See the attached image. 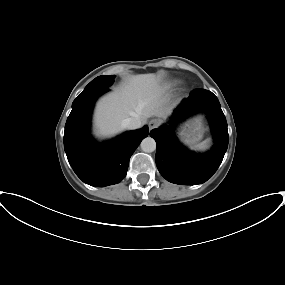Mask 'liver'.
Here are the masks:
<instances>
[{
  "label": "liver",
  "instance_id": "6515ba94",
  "mask_svg": "<svg viewBox=\"0 0 285 285\" xmlns=\"http://www.w3.org/2000/svg\"><path fill=\"white\" fill-rule=\"evenodd\" d=\"M164 88L155 74L130 77L114 92L102 97L95 109L96 134L111 136L124 130L122 121L138 117L145 122L151 116L166 118L170 110L163 108Z\"/></svg>",
  "mask_w": 285,
  "mask_h": 285
}]
</instances>
